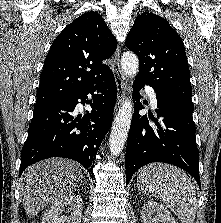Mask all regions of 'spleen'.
Listing matches in <instances>:
<instances>
[{
  "label": "spleen",
  "instance_id": "3e777b00",
  "mask_svg": "<svg viewBox=\"0 0 221 223\" xmlns=\"http://www.w3.org/2000/svg\"><path fill=\"white\" fill-rule=\"evenodd\" d=\"M141 192L164 202L182 223H193L196 215V190L188 175L169 164L145 166L138 178Z\"/></svg>",
  "mask_w": 221,
  "mask_h": 223
}]
</instances>
